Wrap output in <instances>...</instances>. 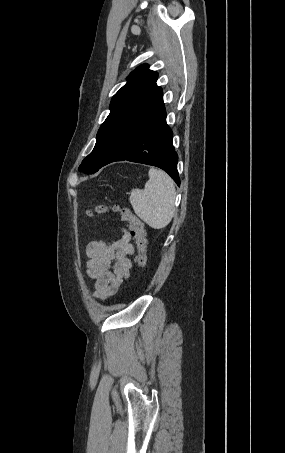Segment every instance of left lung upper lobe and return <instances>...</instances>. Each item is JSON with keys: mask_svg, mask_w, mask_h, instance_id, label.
<instances>
[{"mask_svg": "<svg viewBox=\"0 0 285 453\" xmlns=\"http://www.w3.org/2000/svg\"><path fill=\"white\" fill-rule=\"evenodd\" d=\"M158 74L141 65L127 77V83L113 96L110 114L99 128L93 151L82 161L79 171H98L128 126L162 92L157 86Z\"/></svg>", "mask_w": 285, "mask_h": 453, "instance_id": "left-lung-upper-lobe-1", "label": "left lung upper lobe"}]
</instances>
